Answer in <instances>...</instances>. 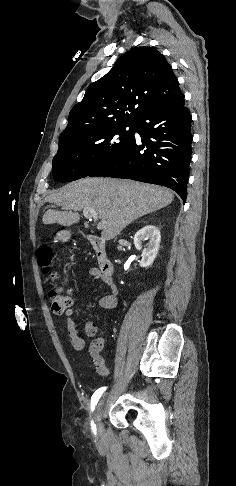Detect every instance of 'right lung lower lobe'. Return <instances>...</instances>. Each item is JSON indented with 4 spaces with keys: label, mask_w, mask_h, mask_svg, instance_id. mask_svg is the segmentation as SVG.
I'll use <instances>...</instances> for the list:
<instances>
[{
    "label": "right lung lower lobe",
    "mask_w": 236,
    "mask_h": 486,
    "mask_svg": "<svg viewBox=\"0 0 236 486\" xmlns=\"http://www.w3.org/2000/svg\"><path fill=\"white\" fill-rule=\"evenodd\" d=\"M184 98L182 95L145 110L134 123L142 144L134 139L88 176L127 178L166 186L185 201L193 135L192 116Z\"/></svg>",
    "instance_id": "98d812e1"
}]
</instances>
